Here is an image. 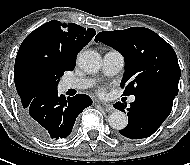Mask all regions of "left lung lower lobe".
<instances>
[{"mask_svg": "<svg viewBox=\"0 0 190 165\" xmlns=\"http://www.w3.org/2000/svg\"><path fill=\"white\" fill-rule=\"evenodd\" d=\"M174 97L163 92L135 95V101L127 109L128 125L119 131L120 134L132 139L151 136L169 116ZM114 107L125 113L127 105L117 102Z\"/></svg>", "mask_w": 190, "mask_h": 165, "instance_id": "0a47b994", "label": "left lung lower lobe"}]
</instances>
